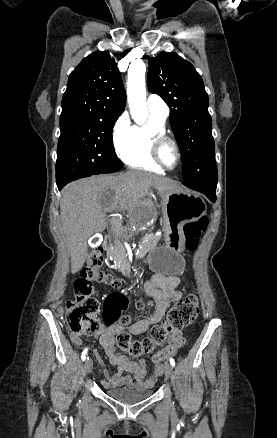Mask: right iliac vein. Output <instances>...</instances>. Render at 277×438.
Returning <instances> with one entry per match:
<instances>
[{
    "instance_id": "obj_1",
    "label": "right iliac vein",
    "mask_w": 277,
    "mask_h": 438,
    "mask_svg": "<svg viewBox=\"0 0 277 438\" xmlns=\"http://www.w3.org/2000/svg\"><path fill=\"white\" fill-rule=\"evenodd\" d=\"M84 368L87 374H89L92 371L93 368V361L89 358L84 363Z\"/></svg>"
}]
</instances>
